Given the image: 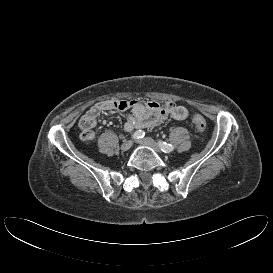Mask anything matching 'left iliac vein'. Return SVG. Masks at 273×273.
<instances>
[{
	"label": "left iliac vein",
	"instance_id": "4c4485c4",
	"mask_svg": "<svg viewBox=\"0 0 273 273\" xmlns=\"http://www.w3.org/2000/svg\"><path fill=\"white\" fill-rule=\"evenodd\" d=\"M137 142L139 144H141V145L148 146V147L152 148L157 153L161 152L160 147L158 146V144L151 138H143L141 140H138Z\"/></svg>",
	"mask_w": 273,
	"mask_h": 273
}]
</instances>
